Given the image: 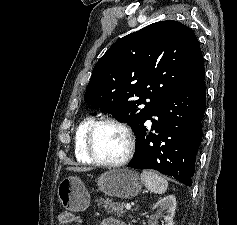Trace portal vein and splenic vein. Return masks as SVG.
Returning <instances> with one entry per match:
<instances>
[{
	"mask_svg": "<svg viewBox=\"0 0 237 225\" xmlns=\"http://www.w3.org/2000/svg\"><path fill=\"white\" fill-rule=\"evenodd\" d=\"M125 208H126L127 210H130V209H131V205H130V204H126V205H125Z\"/></svg>",
	"mask_w": 237,
	"mask_h": 225,
	"instance_id": "portal-vein-and-splenic-vein-1",
	"label": "portal vein and splenic vein"
}]
</instances>
